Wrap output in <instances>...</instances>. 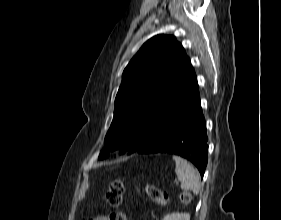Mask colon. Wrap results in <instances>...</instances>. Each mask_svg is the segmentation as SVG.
Segmentation results:
<instances>
[{
	"label": "colon",
	"instance_id": "1",
	"mask_svg": "<svg viewBox=\"0 0 281 220\" xmlns=\"http://www.w3.org/2000/svg\"><path fill=\"white\" fill-rule=\"evenodd\" d=\"M146 192L148 196L160 205H165L168 202V195L164 191L153 185H146ZM124 184L121 179L113 180L106 191L105 201L112 208L108 216V220H126L124 212L119 210L123 200ZM191 200V195L188 192H183L179 196V202L187 204Z\"/></svg>",
	"mask_w": 281,
	"mask_h": 220
}]
</instances>
